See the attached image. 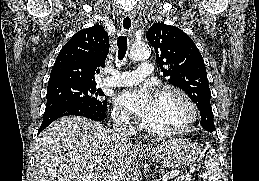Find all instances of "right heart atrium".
I'll list each match as a JSON object with an SVG mask.
<instances>
[{
  "instance_id": "right-heart-atrium-1",
  "label": "right heart atrium",
  "mask_w": 259,
  "mask_h": 181,
  "mask_svg": "<svg viewBox=\"0 0 259 181\" xmlns=\"http://www.w3.org/2000/svg\"><path fill=\"white\" fill-rule=\"evenodd\" d=\"M112 117H113L114 122L117 125L122 126V127H128L132 123L129 115L119 109L113 110Z\"/></svg>"
}]
</instances>
